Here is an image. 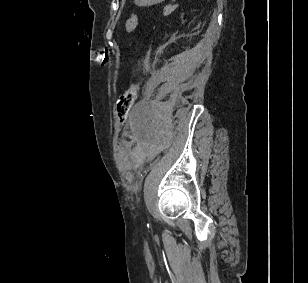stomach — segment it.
<instances>
[{
	"label": "stomach",
	"mask_w": 308,
	"mask_h": 283,
	"mask_svg": "<svg viewBox=\"0 0 308 283\" xmlns=\"http://www.w3.org/2000/svg\"><path fill=\"white\" fill-rule=\"evenodd\" d=\"M164 0H135V4L139 6H150L157 3H161Z\"/></svg>",
	"instance_id": "1"
}]
</instances>
